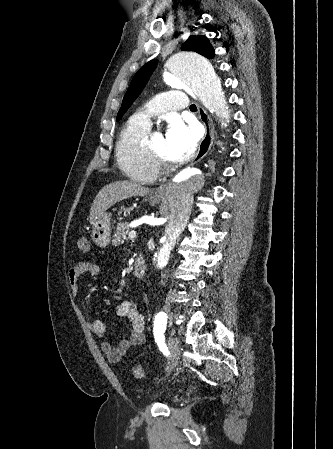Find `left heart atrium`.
<instances>
[{"label": "left heart atrium", "instance_id": "obj_1", "mask_svg": "<svg viewBox=\"0 0 333 449\" xmlns=\"http://www.w3.org/2000/svg\"><path fill=\"white\" fill-rule=\"evenodd\" d=\"M168 158L173 162H183L195 151L198 133L195 127L186 126L180 120H172L165 135Z\"/></svg>", "mask_w": 333, "mask_h": 449}]
</instances>
